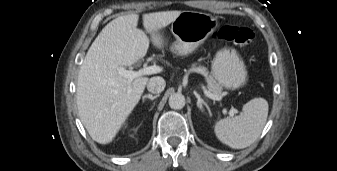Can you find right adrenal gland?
<instances>
[{
  "label": "right adrenal gland",
  "instance_id": "obj_1",
  "mask_svg": "<svg viewBox=\"0 0 337 171\" xmlns=\"http://www.w3.org/2000/svg\"><path fill=\"white\" fill-rule=\"evenodd\" d=\"M157 97H159V95H155V96H153V95H151V94H148V95H144L143 96V101L145 100V99H150V100H154V99H156Z\"/></svg>",
  "mask_w": 337,
  "mask_h": 171
}]
</instances>
